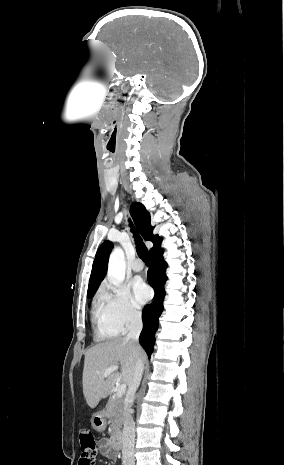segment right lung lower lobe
<instances>
[{
    "mask_svg": "<svg viewBox=\"0 0 284 465\" xmlns=\"http://www.w3.org/2000/svg\"><path fill=\"white\" fill-rule=\"evenodd\" d=\"M164 250L159 247L149 253L150 268L148 270V282L155 291V298L151 304H147L142 311L143 329L139 337L140 344L150 358L155 343V332L158 329V319L163 311V299L165 296L164 283L167 279L165 270L166 262L163 260Z\"/></svg>",
    "mask_w": 284,
    "mask_h": 465,
    "instance_id": "obj_1",
    "label": "right lung lower lobe"
}]
</instances>
